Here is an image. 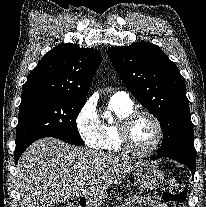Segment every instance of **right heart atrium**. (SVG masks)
<instances>
[{"label": "right heart atrium", "instance_id": "right-heart-atrium-1", "mask_svg": "<svg viewBox=\"0 0 206 207\" xmlns=\"http://www.w3.org/2000/svg\"><path fill=\"white\" fill-rule=\"evenodd\" d=\"M75 125L83 142L90 148L101 147V122L91 100L85 102L75 117Z\"/></svg>", "mask_w": 206, "mask_h": 207}]
</instances>
